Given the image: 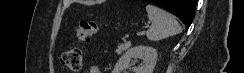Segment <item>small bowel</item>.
I'll return each mask as SVG.
<instances>
[{"label": "small bowel", "instance_id": "small-bowel-1", "mask_svg": "<svg viewBox=\"0 0 244 73\" xmlns=\"http://www.w3.org/2000/svg\"><path fill=\"white\" fill-rule=\"evenodd\" d=\"M88 73H101V71L97 66L92 65L88 68Z\"/></svg>", "mask_w": 244, "mask_h": 73}]
</instances>
